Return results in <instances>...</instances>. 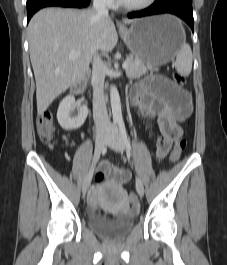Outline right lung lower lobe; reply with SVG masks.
<instances>
[{"instance_id":"1","label":"right lung lower lobe","mask_w":227,"mask_h":265,"mask_svg":"<svg viewBox=\"0 0 227 265\" xmlns=\"http://www.w3.org/2000/svg\"><path fill=\"white\" fill-rule=\"evenodd\" d=\"M90 0H29L27 1V21L31 19L34 13L44 7H76L83 8L88 6Z\"/></svg>"}]
</instances>
